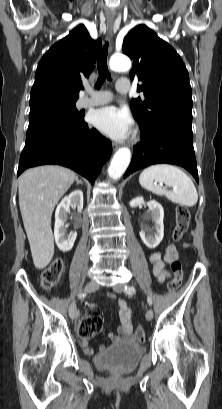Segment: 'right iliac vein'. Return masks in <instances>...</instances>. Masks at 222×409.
<instances>
[{
  "label": "right iliac vein",
  "mask_w": 222,
  "mask_h": 409,
  "mask_svg": "<svg viewBox=\"0 0 222 409\" xmlns=\"http://www.w3.org/2000/svg\"><path fill=\"white\" fill-rule=\"evenodd\" d=\"M98 288V283L94 280L89 281L86 286L84 291L85 292H92L95 291ZM69 315L71 319L75 320L78 318V313H77V308H76V302L73 301L70 306H69Z\"/></svg>",
  "instance_id": "right-iliac-vein-1"
}]
</instances>
